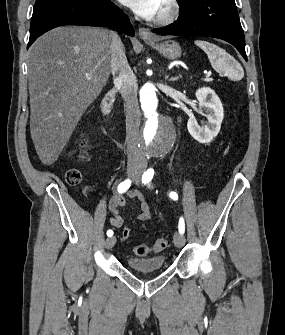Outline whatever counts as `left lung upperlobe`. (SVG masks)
Here are the masks:
<instances>
[{
	"label": "left lung upper lobe",
	"mask_w": 285,
	"mask_h": 335,
	"mask_svg": "<svg viewBox=\"0 0 285 335\" xmlns=\"http://www.w3.org/2000/svg\"><path fill=\"white\" fill-rule=\"evenodd\" d=\"M179 3H181V2H186V1H188V0H177Z\"/></svg>",
	"instance_id": "5c2ea615"
}]
</instances>
